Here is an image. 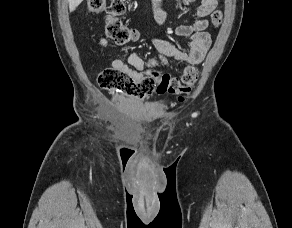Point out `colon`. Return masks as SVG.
<instances>
[{"mask_svg":"<svg viewBox=\"0 0 292 228\" xmlns=\"http://www.w3.org/2000/svg\"><path fill=\"white\" fill-rule=\"evenodd\" d=\"M190 2L192 0H185ZM126 11L125 0H87L85 12L89 15L106 13V35L118 45H124L138 39L137 30L128 27L121 20ZM212 24L219 26L222 13L215 11L211 17ZM198 79L197 70L193 67L183 69L180 79L169 75L159 76L157 73H147L140 80L133 79L127 73L113 68L104 69L99 73V86L108 91H117L138 99L157 93H171L183 101L195 88Z\"/></svg>","mask_w":292,"mask_h":228,"instance_id":"colon-1","label":"colon"}]
</instances>
